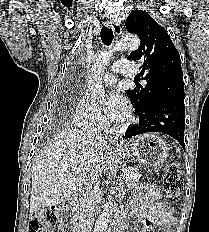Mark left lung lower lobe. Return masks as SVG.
Masks as SVG:
<instances>
[{
  "label": "left lung lower lobe",
  "mask_w": 209,
  "mask_h": 232,
  "mask_svg": "<svg viewBox=\"0 0 209 232\" xmlns=\"http://www.w3.org/2000/svg\"><path fill=\"white\" fill-rule=\"evenodd\" d=\"M139 124L130 126L125 132V139L136 135L160 132L176 139L185 150V106L184 101L161 102L137 114Z\"/></svg>",
  "instance_id": "0a47b994"
}]
</instances>
